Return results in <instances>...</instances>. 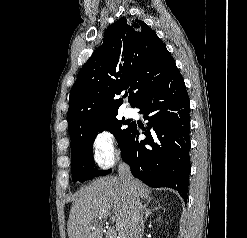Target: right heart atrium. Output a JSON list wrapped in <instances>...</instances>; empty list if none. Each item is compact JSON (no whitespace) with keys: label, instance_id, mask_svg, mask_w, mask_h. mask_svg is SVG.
<instances>
[{"label":"right heart atrium","instance_id":"right-heart-atrium-1","mask_svg":"<svg viewBox=\"0 0 247 238\" xmlns=\"http://www.w3.org/2000/svg\"><path fill=\"white\" fill-rule=\"evenodd\" d=\"M91 151L93 161L100 169L111 167L120 155L115 134L108 128L97 131L92 139Z\"/></svg>","mask_w":247,"mask_h":238}]
</instances>
